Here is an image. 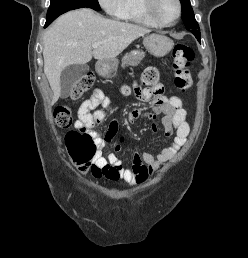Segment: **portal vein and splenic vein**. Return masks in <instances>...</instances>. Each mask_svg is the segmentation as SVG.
Wrapping results in <instances>:
<instances>
[{"mask_svg":"<svg viewBox=\"0 0 248 258\" xmlns=\"http://www.w3.org/2000/svg\"><path fill=\"white\" fill-rule=\"evenodd\" d=\"M100 46V43H93L92 48H98Z\"/></svg>","mask_w":248,"mask_h":258,"instance_id":"1","label":"portal vein and splenic vein"}]
</instances>
